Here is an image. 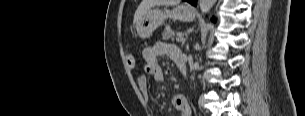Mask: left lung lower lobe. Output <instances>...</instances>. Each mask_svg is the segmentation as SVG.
I'll return each instance as SVG.
<instances>
[{
  "label": "left lung lower lobe",
  "mask_w": 305,
  "mask_h": 116,
  "mask_svg": "<svg viewBox=\"0 0 305 116\" xmlns=\"http://www.w3.org/2000/svg\"><path fill=\"white\" fill-rule=\"evenodd\" d=\"M187 2L191 3L192 5H196L197 0H186Z\"/></svg>",
  "instance_id": "obj_1"
}]
</instances>
